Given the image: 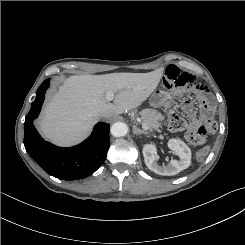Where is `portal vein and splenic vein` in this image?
<instances>
[{"instance_id":"1","label":"portal vein and splenic vein","mask_w":245,"mask_h":245,"mask_svg":"<svg viewBox=\"0 0 245 245\" xmlns=\"http://www.w3.org/2000/svg\"><path fill=\"white\" fill-rule=\"evenodd\" d=\"M113 98H114V93H113L112 91L107 92V94H106V99H107L108 101H111V100H113ZM137 121H138V122H141V119H140V118H137ZM142 128H143L144 130H148V129H149L148 126H147L145 123H143V122H142Z\"/></svg>"}]
</instances>
